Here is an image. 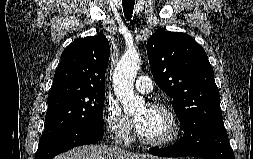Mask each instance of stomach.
<instances>
[{"label": "stomach", "instance_id": "0dacf381", "mask_svg": "<svg viewBox=\"0 0 253 159\" xmlns=\"http://www.w3.org/2000/svg\"><path fill=\"white\" fill-rule=\"evenodd\" d=\"M147 159H166V158H159V157H158V158H157V157H156V158H153V157H152V158H147Z\"/></svg>", "mask_w": 253, "mask_h": 159}]
</instances>
